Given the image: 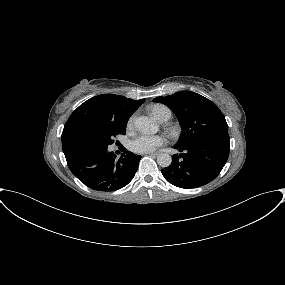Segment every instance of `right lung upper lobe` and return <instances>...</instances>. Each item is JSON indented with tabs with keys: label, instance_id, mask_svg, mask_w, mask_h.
I'll use <instances>...</instances> for the list:
<instances>
[{
	"label": "right lung upper lobe",
	"instance_id": "cb5924a9",
	"mask_svg": "<svg viewBox=\"0 0 285 285\" xmlns=\"http://www.w3.org/2000/svg\"><path fill=\"white\" fill-rule=\"evenodd\" d=\"M145 101L114 94H102L81 104L67 120L62 132L65 155L88 141L109 125L127 124L130 116Z\"/></svg>",
	"mask_w": 285,
	"mask_h": 285
}]
</instances>
